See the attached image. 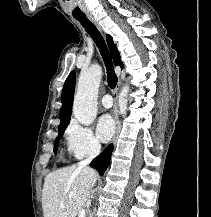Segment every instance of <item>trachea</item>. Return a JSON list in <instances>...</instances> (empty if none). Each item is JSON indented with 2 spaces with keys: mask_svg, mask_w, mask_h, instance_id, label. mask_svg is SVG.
<instances>
[{
  "mask_svg": "<svg viewBox=\"0 0 211 217\" xmlns=\"http://www.w3.org/2000/svg\"><path fill=\"white\" fill-rule=\"evenodd\" d=\"M81 25L85 28L87 33L91 36L97 47L99 48V51L101 53V56L105 62V66L107 69V83L108 86L112 89L116 87L117 84V76L114 71V66L112 63L110 52L106 46V43L101 35V33L98 31V29L95 27V25L86 17L76 18Z\"/></svg>",
  "mask_w": 211,
  "mask_h": 217,
  "instance_id": "obj_1",
  "label": "trachea"
}]
</instances>
